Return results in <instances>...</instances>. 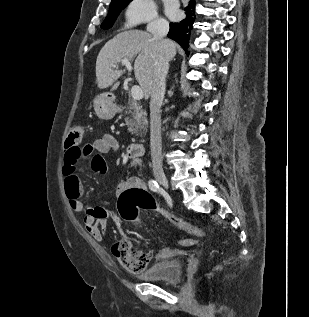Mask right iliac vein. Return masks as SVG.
I'll use <instances>...</instances> for the list:
<instances>
[{"mask_svg": "<svg viewBox=\"0 0 309 317\" xmlns=\"http://www.w3.org/2000/svg\"><path fill=\"white\" fill-rule=\"evenodd\" d=\"M156 180L165 188L168 189V181L163 171L156 170L154 172Z\"/></svg>", "mask_w": 309, "mask_h": 317, "instance_id": "63e3f726", "label": "right iliac vein"}]
</instances>
